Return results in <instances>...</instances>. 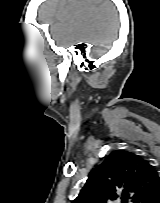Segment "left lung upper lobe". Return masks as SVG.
I'll list each match as a JSON object with an SVG mask.
<instances>
[{"label":"left lung upper lobe","instance_id":"left-lung-upper-lobe-1","mask_svg":"<svg viewBox=\"0 0 160 203\" xmlns=\"http://www.w3.org/2000/svg\"><path fill=\"white\" fill-rule=\"evenodd\" d=\"M160 183L148 161L127 151H113L88 176L72 203H107L121 197L122 203H150Z\"/></svg>","mask_w":160,"mask_h":203}]
</instances>
